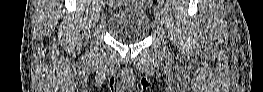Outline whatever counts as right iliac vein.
Here are the masks:
<instances>
[{
  "mask_svg": "<svg viewBox=\"0 0 263 92\" xmlns=\"http://www.w3.org/2000/svg\"><path fill=\"white\" fill-rule=\"evenodd\" d=\"M99 11L101 12L103 10L102 6H106L107 5V0H100L99 2Z\"/></svg>",
  "mask_w": 263,
  "mask_h": 92,
  "instance_id": "1",
  "label": "right iliac vein"
}]
</instances>
